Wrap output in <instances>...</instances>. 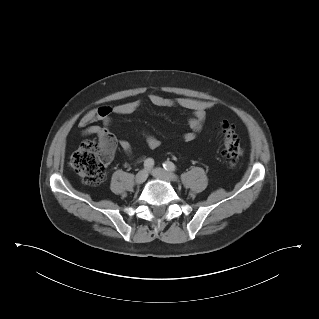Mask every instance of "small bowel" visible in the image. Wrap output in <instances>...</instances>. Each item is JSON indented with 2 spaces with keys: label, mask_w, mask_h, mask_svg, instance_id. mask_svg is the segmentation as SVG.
<instances>
[{
  "label": "small bowel",
  "mask_w": 319,
  "mask_h": 319,
  "mask_svg": "<svg viewBox=\"0 0 319 319\" xmlns=\"http://www.w3.org/2000/svg\"><path fill=\"white\" fill-rule=\"evenodd\" d=\"M148 102L155 106L161 107H181L191 112L188 118L189 130L183 133V139L186 142H192L196 139L198 133L203 129L206 122L207 111L215 106V103L208 100H200L194 98H166L159 94L152 93L148 95ZM143 104V100L135 99L129 102L104 105L87 111L79 120L80 127L83 128L82 135L97 136L99 139L110 134V128L115 115H128L136 111ZM101 121L103 126L94 125L95 122ZM143 136L151 149H157L161 145L159 138L151 133L144 132ZM120 148L128 157H133L132 146L127 140H119Z\"/></svg>",
  "instance_id": "1"
}]
</instances>
